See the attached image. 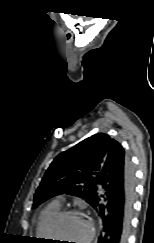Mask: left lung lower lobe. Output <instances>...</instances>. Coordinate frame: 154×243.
<instances>
[{
  "label": "left lung lower lobe",
  "instance_id": "1",
  "mask_svg": "<svg viewBox=\"0 0 154 243\" xmlns=\"http://www.w3.org/2000/svg\"><path fill=\"white\" fill-rule=\"evenodd\" d=\"M121 147L109 152L98 175L99 194L92 205L102 219L97 243H127L135 181L129 157Z\"/></svg>",
  "mask_w": 154,
  "mask_h": 243
}]
</instances>
